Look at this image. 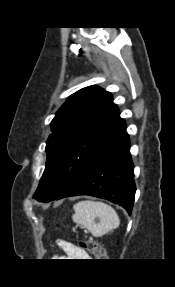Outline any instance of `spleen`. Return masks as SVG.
Here are the masks:
<instances>
[{"instance_id": "spleen-1", "label": "spleen", "mask_w": 175, "mask_h": 287, "mask_svg": "<svg viewBox=\"0 0 175 287\" xmlns=\"http://www.w3.org/2000/svg\"><path fill=\"white\" fill-rule=\"evenodd\" d=\"M73 208V221L87 228L94 237H101L120 224L118 214L106 203L84 200L76 203Z\"/></svg>"}]
</instances>
